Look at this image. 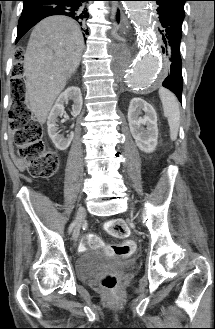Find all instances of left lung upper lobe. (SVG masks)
I'll use <instances>...</instances> for the list:
<instances>
[{
    "instance_id": "obj_1",
    "label": "left lung upper lobe",
    "mask_w": 215,
    "mask_h": 329,
    "mask_svg": "<svg viewBox=\"0 0 215 329\" xmlns=\"http://www.w3.org/2000/svg\"><path fill=\"white\" fill-rule=\"evenodd\" d=\"M176 10L180 15L185 16L184 4L189 0H159Z\"/></svg>"
}]
</instances>
